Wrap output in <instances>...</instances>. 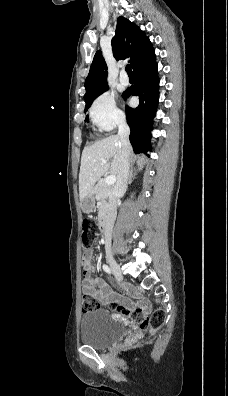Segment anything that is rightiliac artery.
<instances>
[{
  "label": "right iliac artery",
  "instance_id": "obj_1",
  "mask_svg": "<svg viewBox=\"0 0 228 396\" xmlns=\"http://www.w3.org/2000/svg\"><path fill=\"white\" fill-rule=\"evenodd\" d=\"M103 270L106 272V273H108V274H112V271H111V269L107 266V265H103Z\"/></svg>",
  "mask_w": 228,
  "mask_h": 396
}]
</instances>
